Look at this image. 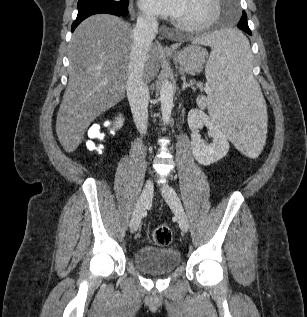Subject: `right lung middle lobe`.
Listing matches in <instances>:
<instances>
[{
	"label": "right lung middle lobe",
	"instance_id": "obj_1",
	"mask_svg": "<svg viewBox=\"0 0 307 317\" xmlns=\"http://www.w3.org/2000/svg\"><path fill=\"white\" fill-rule=\"evenodd\" d=\"M129 0H79L78 10L88 7H105L113 10H123L128 7Z\"/></svg>",
	"mask_w": 307,
	"mask_h": 317
}]
</instances>
